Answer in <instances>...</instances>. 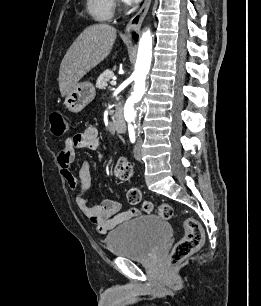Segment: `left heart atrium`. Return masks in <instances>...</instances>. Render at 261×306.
Instances as JSON below:
<instances>
[{
	"label": "left heart atrium",
	"mask_w": 261,
	"mask_h": 306,
	"mask_svg": "<svg viewBox=\"0 0 261 306\" xmlns=\"http://www.w3.org/2000/svg\"><path fill=\"white\" fill-rule=\"evenodd\" d=\"M123 1L127 4H133V3L138 2L139 0H123Z\"/></svg>",
	"instance_id": "1"
}]
</instances>
